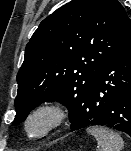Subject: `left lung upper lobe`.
<instances>
[{"label":"left lung upper lobe","instance_id":"1","mask_svg":"<svg viewBox=\"0 0 131 151\" xmlns=\"http://www.w3.org/2000/svg\"><path fill=\"white\" fill-rule=\"evenodd\" d=\"M131 47V20L117 0H72L45 18L17 74L13 125L46 101L69 109L71 127L104 66Z\"/></svg>","mask_w":131,"mask_h":151}]
</instances>
